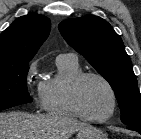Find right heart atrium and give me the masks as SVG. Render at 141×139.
I'll use <instances>...</instances> for the list:
<instances>
[{
  "label": "right heart atrium",
  "mask_w": 141,
  "mask_h": 139,
  "mask_svg": "<svg viewBox=\"0 0 141 139\" xmlns=\"http://www.w3.org/2000/svg\"><path fill=\"white\" fill-rule=\"evenodd\" d=\"M37 71V64L35 61L29 63L27 71H26V79L28 83L31 82L32 78L35 76ZM38 102L42 106V99L40 95V84L38 85Z\"/></svg>",
  "instance_id": "d8ad5b80"
}]
</instances>
